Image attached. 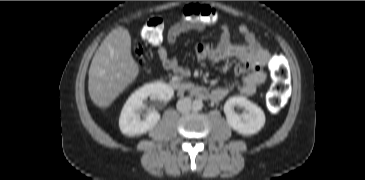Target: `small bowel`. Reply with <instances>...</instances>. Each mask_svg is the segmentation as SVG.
Listing matches in <instances>:
<instances>
[{"label":"small bowel","mask_w":365,"mask_h":180,"mask_svg":"<svg viewBox=\"0 0 365 180\" xmlns=\"http://www.w3.org/2000/svg\"><path fill=\"white\" fill-rule=\"evenodd\" d=\"M204 24L197 22L189 24L177 22L172 24L166 34V45L157 46V55L162 66L179 77L187 79L191 75L189 68L170 56L168 48L172 47L177 39L190 30H203ZM221 36L216 43L198 44L194 55L198 61L218 62L224 60L235 61L233 72L241 79L238 92L244 96H251L267 79L266 65L270 60L269 52L260 44L255 34L246 25L239 27V33L244 39L243 44L231 42L229 28L226 24L220 26ZM229 93L228 88L219 87L212 92L214 101L222 100Z\"/></svg>","instance_id":"obj_1"}]
</instances>
